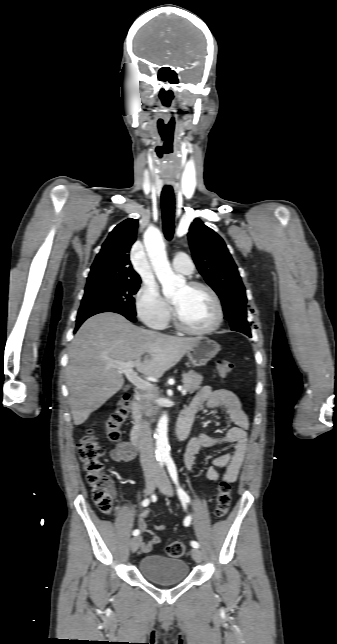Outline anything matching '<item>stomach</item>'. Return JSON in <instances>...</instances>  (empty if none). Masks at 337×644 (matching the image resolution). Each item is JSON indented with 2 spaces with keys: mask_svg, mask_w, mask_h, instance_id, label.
<instances>
[{
  "mask_svg": "<svg viewBox=\"0 0 337 644\" xmlns=\"http://www.w3.org/2000/svg\"><path fill=\"white\" fill-rule=\"evenodd\" d=\"M220 351V345L207 337H199L196 344L187 351L192 365L204 366Z\"/></svg>",
  "mask_w": 337,
  "mask_h": 644,
  "instance_id": "obj_1",
  "label": "stomach"
}]
</instances>
